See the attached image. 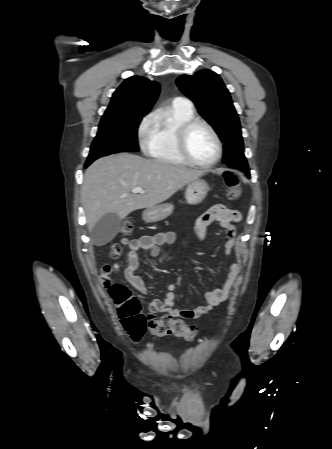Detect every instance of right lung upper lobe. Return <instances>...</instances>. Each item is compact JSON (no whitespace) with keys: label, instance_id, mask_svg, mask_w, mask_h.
Listing matches in <instances>:
<instances>
[{"label":"right lung upper lobe","instance_id":"obj_1","mask_svg":"<svg viewBox=\"0 0 332 449\" xmlns=\"http://www.w3.org/2000/svg\"><path fill=\"white\" fill-rule=\"evenodd\" d=\"M160 86L143 77L127 78L113 93L103 117L146 115L157 100Z\"/></svg>","mask_w":332,"mask_h":449}]
</instances>
